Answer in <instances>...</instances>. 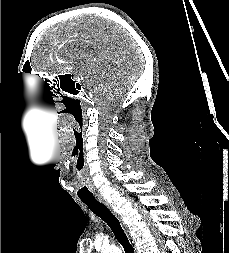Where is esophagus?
Listing matches in <instances>:
<instances>
[{
  "label": "esophagus",
  "mask_w": 229,
  "mask_h": 253,
  "mask_svg": "<svg viewBox=\"0 0 229 253\" xmlns=\"http://www.w3.org/2000/svg\"><path fill=\"white\" fill-rule=\"evenodd\" d=\"M97 200L99 202H101L102 204H104L110 211H112L115 214V212L113 211V209H112L111 205L109 204V202L106 201L103 197L97 196ZM118 218H119V216H118ZM120 221H121V219H120Z\"/></svg>",
  "instance_id": "esophagus-1"
}]
</instances>
